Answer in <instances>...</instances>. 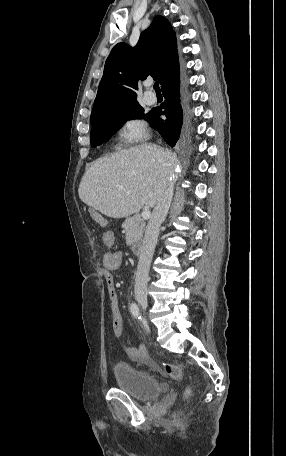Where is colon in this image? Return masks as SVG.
<instances>
[{"label":"colon","instance_id":"5ec220e1","mask_svg":"<svg viewBox=\"0 0 286 456\" xmlns=\"http://www.w3.org/2000/svg\"><path fill=\"white\" fill-rule=\"evenodd\" d=\"M135 357L138 361L147 364L152 370H159V366L157 365V363L148 356L145 350H138L137 352H135ZM163 370L166 375H168L174 380H179L181 378L182 369L178 365L165 364Z\"/></svg>","mask_w":286,"mask_h":456}]
</instances>
